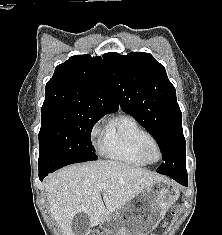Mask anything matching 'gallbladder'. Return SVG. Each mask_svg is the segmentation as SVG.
<instances>
[{
  "label": "gallbladder",
  "instance_id": "gallbladder-1",
  "mask_svg": "<svg viewBox=\"0 0 222 235\" xmlns=\"http://www.w3.org/2000/svg\"><path fill=\"white\" fill-rule=\"evenodd\" d=\"M89 226V220L86 214L78 213L72 222V228L75 235H85Z\"/></svg>",
  "mask_w": 222,
  "mask_h": 235
}]
</instances>
